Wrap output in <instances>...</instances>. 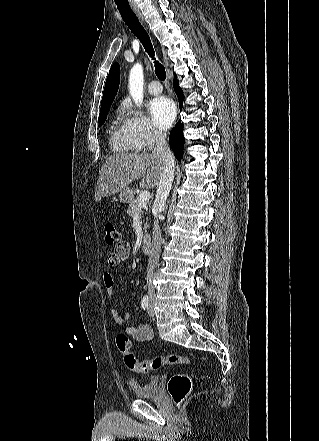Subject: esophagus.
<instances>
[{"label": "esophagus", "instance_id": "1", "mask_svg": "<svg viewBox=\"0 0 319 441\" xmlns=\"http://www.w3.org/2000/svg\"><path fill=\"white\" fill-rule=\"evenodd\" d=\"M132 9L134 10V12H135L136 15L138 16V18L141 19V20L143 21V16H142L140 10L138 9V7L135 6V5H133V6H132Z\"/></svg>", "mask_w": 319, "mask_h": 441}]
</instances>
